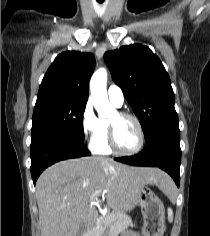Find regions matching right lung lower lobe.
Segmentation results:
<instances>
[{
    "instance_id": "1",
    "label": "right lung lower lobe",
    "mask_w": 210,
    "mask_h": 236,
    "mask_svg": "<svg viewBox=\"0 0 210 236\" xmlns=\"http://www.w3.org/2000/svg\"><path fill=\"white\" fill-rule=\"evenodd\" d=\"M83 141L61 134H46L31 141V175L34 184L41 172L55 162L88 156Z\"/></svg>"
}]
</instances>
